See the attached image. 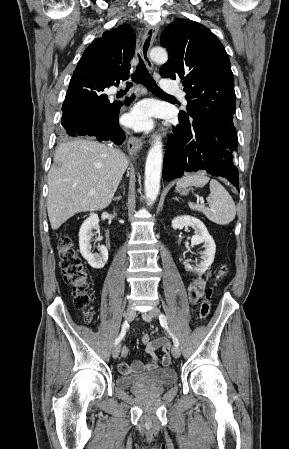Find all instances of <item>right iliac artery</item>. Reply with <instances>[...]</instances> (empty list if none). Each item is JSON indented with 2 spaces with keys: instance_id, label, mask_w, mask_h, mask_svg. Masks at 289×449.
<instances>
[{
  "instance_id": "82829eb1",
  "label": "right iliac artery",
  "mask_w": 289,
  "mask_h": 449,
  "mask_svg": "<svg viewBox=\"0 0 289 449\" xmlns=\"http://www.w3.org/2000/svg\"><path fill=\"white\" fill-rule=\"evenodd\" d=\"M128 326H129V325H128L127 321H125V322L123 323V326H122V330H121V332H120V335L118 336V338H117V339L115 340V342H114L115 345L119 344V342L124 338Z\"/></svg>"
}]
</instances>
